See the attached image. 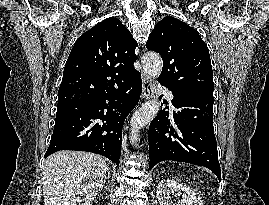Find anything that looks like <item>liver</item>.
Returning a JSON list of instances; mask_svg holds the SVG:
<instances>
[{
    "label": "liver",
    "mask_w": 269,
    "mask_h": 205,
    "mask_svg": "<svg viewBox=\"0 0 269 205\" xmlns=\"http://www.w3.org/2000/svg\"><path fill=\"white\" fill-rule=\"evenodd\" d=\"M108 166L96 154L59 151L49 156L43 174L45 205H90L102 190Z\"/></svg>",
    "instance_id": "1"
}]
</instances>
